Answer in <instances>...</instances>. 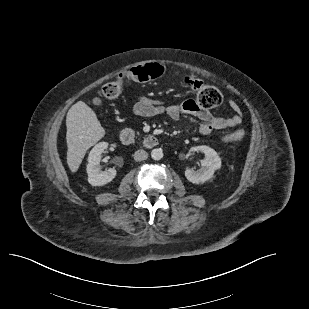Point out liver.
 Listing matches in <instances>:
<instances>
[{
  "label": "liver",
  "mask_w": 309,
  "mask_h": 309,
  "mask_svg": "<svg viewBox=\"0 0 309 309\" xmlns=\"http://www.w3.org/2000/svg\"><path fill=\"white\" fill-rule=\"evenodd\" d=\"M67 164L76 172L89 148L105 135L95 112L83 101H78L68 110L66 117Z\"/></svg>",
  "instance_id": "liver-1"
}]
</instances>
